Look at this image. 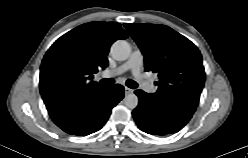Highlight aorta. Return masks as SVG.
I'll use <instances>...</instances> for the list:
<instances>
[{
	"label": "aorta",
	"mask_w": 248,
	"mask_h": 158,
	"mask_svg": "<svg viewBox=\"0 0 248 158\" xmlns=\"http://www.w3.org/2000/svg\"><path fill=\"white\" fill-rule=\"evenodd\" d=\"M110 53L115 60H127L131 54V47L125 40H117L111 46ZM138 97L134 94H128L124 98V104L129 109H135L138 106Z\"/></svg>",
	"instance_id": "aorta-1"
}]
</instances>
